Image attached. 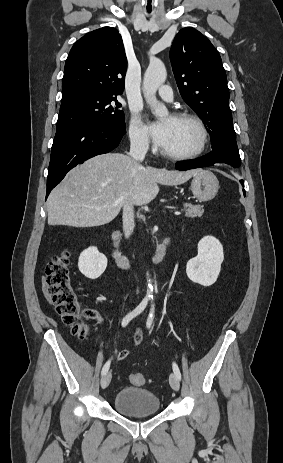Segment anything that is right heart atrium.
Returning <instances> with one entry per match:
<instances>
[{
    "label": "right heart atrium",
    "instance_id": "1",
    "mask_svg": "<svg viewBox=\"0 0 283 463\" xmlns=\"http://www.w3.org/2000/svg\"><path fill=\"white\" fill-rule=\"evenodd\" d=\"M129 138L130 142L136 149H147L149 146L148 136L145 128L143 127L139 116L134 113L132 115L130 126H129Z\"/></svg>",
    "mask_w": 283,
    "mask_h": 463
}]
</instances>
